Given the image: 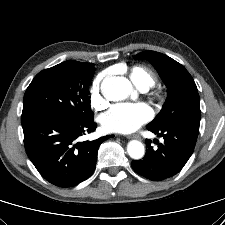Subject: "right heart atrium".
I'll return each mask as SVG.
<instances>
[{"mask_svg":"<svg viewBox=\"0 0 225 225\" xmlns=\"http://www.w3.org/2000/svg\"><path fill=\"white\" fill-rule=\"evenodd\" d=\"M103 79V75H98L91 86V92H90V101L91 105L96 110H101L107 105V101L104 98L102 92H101V82Z\"/></svg>","mask_w":225,"mask_h":225,"instance_id":"d8ad5b80","label":"right heart atrium"}]
</instances>
